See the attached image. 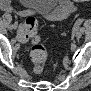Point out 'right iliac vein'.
Instances as JSON below:
<instances>
[{
  "label": "right iliac vein",
  "mask_w": 91,
  "mask_h": 91,
  "mask_svg": "<svg viewBox=\"0 0 91 91\" xmlns=\"http://www.w3.org/2000/svg\"><path fill=\"white\" fill-rule=\"evenodd\" d=\"M12 27H13L14 29H16V28H17V24H14Z\"/></svg>",
  "instance_id": "obj_1"
}]
</instances>
